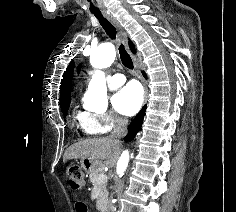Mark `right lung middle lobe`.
Returning a JSON list of instances; mask_svg holds the SVG:
<instances>
[{"label": "right lung middle lobe", "instance_id": "dd1d6c3e", "mask_svg": "<svg viewBox=\"0 0 236 212\" xmlns=\"http://www.w3.org/2000/svg\"><path fill=\"white\" fill-rule=\"evenodd\" d=\"M70 100H71V99H66V100L60 102V104H61V109H62V111L64 112V114H66V112H67V110H68V108H69Z\"/></svg>", "mask_w": 236, "mask_h": 212}]
</instances>
